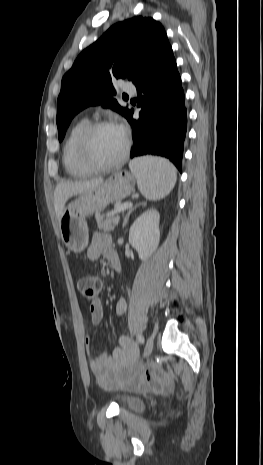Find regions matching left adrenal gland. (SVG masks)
I'll return each mask as SVG.
<instances>
[{
	"label": "left adrenal gland",
	"instance_id": "obj_1",
	"mask_svg": "<svg viewBox=\"0 0 263 465\" xmlns=\"http://www.w3.org/2000/svg\"><path fill=\"white\" fill-rule=\"evenodd\" d=\"M145 205H146V203H145V202H144V203H140V204L136 205L134 208L130 209V210L128 211V213H127V214L125 215V217H124V221H123V227H125V226H126V224H127V222H128V219H129V216H130V214H131V213H132V212H133L135 209H137L139 206H145Z\"/></svg>",
	"mask_w": 263,
	"mask_h": 465
}]
</instances>
